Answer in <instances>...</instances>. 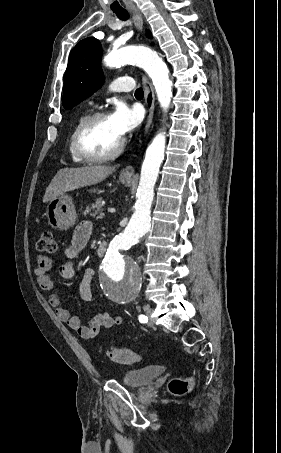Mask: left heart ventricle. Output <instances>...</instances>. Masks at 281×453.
I'll return each mask as SVG.
<instances>
[{"instance_id":"b2bd125f","label":"left heart ventricle","mask_w":281,"mask_h":453,"mask_svg":"<svg viewBox=\"0 0 281 453\" xmlns=\"http://www.w3.org/2000/svg\"><path fill=\"white\" fill-rule=\"evenodd\" d=\"M122 137L108 118L91 128L85 141V147L93 155L105 154L112 151Z\"/></svg>"}]
</instances>
